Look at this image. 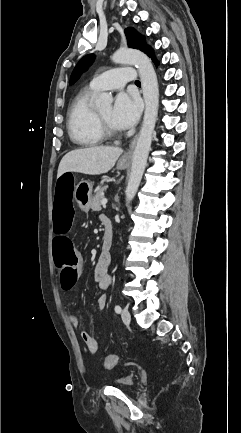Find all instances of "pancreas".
Here are the masks:
<instances>
[{
    "mask_svg": "<svg viewBox=\"0 0 241 433\" xmlns=\"http://www.w3.org/2000/svg\"><path fill=\"white\" fill-rule=\"evenodd\" d=\"M104 189H100L94 196L92 203L90 205L91 209L93 211H100L101 210V201L104 198Z\"/></svg>",
    "mask_w": 241,
    "mask_h": 433,
    "instance_id": "1",
    "label": "pancreas"
}]
</instances>
